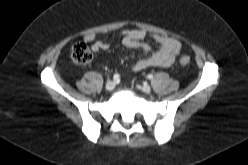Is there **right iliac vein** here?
<instances>
[{
  "label": "right iliac vein",
  "instance_id": "right-iliac-vein-1",
  "mask_svg": "<svg viewBox=\"0 0 248 165\" xmlns=\"http://www.w3.org/2000/svg\"><path fill=\"white\" fill-rule=\"evenodd\" d=\"M115 88V82L114 81H108L106 83V90L112 91Z\"/></svg>",
  "mask_w": 248,
  "mask_h": 165
}]
</instances>
